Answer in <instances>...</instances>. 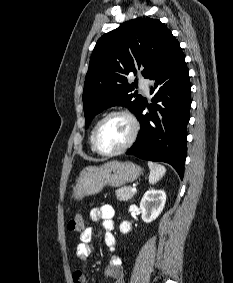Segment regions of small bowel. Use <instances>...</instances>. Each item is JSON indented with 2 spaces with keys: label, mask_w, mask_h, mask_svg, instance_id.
Listing matches in <instances>:
<instances>
[{
  "label": "small bowel",
  "mask_w": 233,
  "mask_h": 283,
  "mask_svg": "<svg viewBox=\"0 0 233 283\" xmlns=\"http://www.w3.org/2000/svg\"><path fill=\"white\" fill-rule=\"evenodd\" d=\"M113 217L114 209L109 204L94 208L89 213L90 222L94 223L101 221L102 227L105 231L104 242L111 253L108 265L103 270L102 275L107 279H111L113 283H125L123 279L121 259L117 254H115L116 240L113 235ZM92 237L93 230L91 227L85 228L80 235V241L76 250V258L82 264H86L87 259L92 252ZM73 283H85V277L82 271L78 270L73 273Z\"/></svg>",
  "instance_id": "obj_1"
}]
</instances>
